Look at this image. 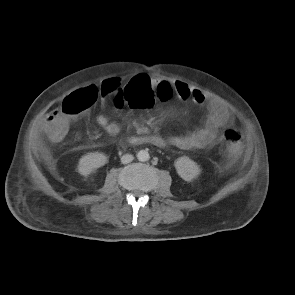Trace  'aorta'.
Listing matches in <instances>:
<instances>
[{"label": "aorta", "mask_w": 295, "mask_h": 295, "mask_svg": "<svg viewBox=\"0 0 295 295\" xmlns=\"http://www.w3.org/2000/svg\"><path fill=\"white\" fill-rule=\"evenodd\" d=\"M137 158H138L139 161L145 162V161L149 160L150 155H149L147 150H140L137 153Z\"/></svg>", "instance_id": "obj_1"}]
</instances>
